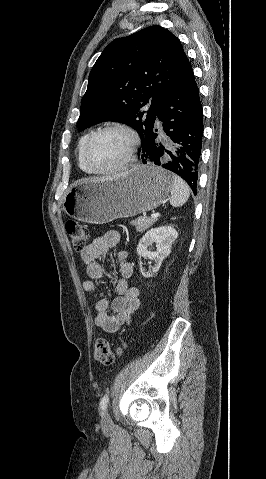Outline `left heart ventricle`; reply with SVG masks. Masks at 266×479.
<instances>
[{
	"label": "left heart ventricle",
	"mask_w": 266,
	"mask_h": 479,
	"mask_svg": "<svg viewBox=\"0 0 266 479\" xmlns=\"http://www.w3.org/2000/svg\"><path fill=\"white\" fill-rule=\"evenodd\" d=\"M130 145L129 137L118 131L99 135L92 143L88 158L98 170H107L118 165L125 158Z\"/></svg>",
	"instance_id": "1"
}]
</instances>
